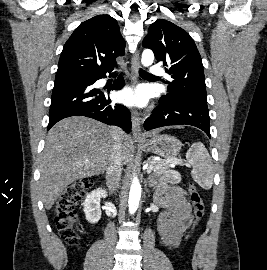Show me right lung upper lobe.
I'll list each match as a JSON object with an SVG mask.
<instances>
[{"mask_svg": "<svg viewBox=\"0 0 267 270\" xmlns=\"http://www.w3.org/2000/svg\"><path fill=\"white\" fill-rule=\"evenodd\" d=\"M124 54L125 40L117 21L109 15H98L80 24L67 40L56 76L105 73Z\"/></svg>", "mask_w": 267, "mask_h": 270, "instance_id": "1", "label": "right lung upper lobe"}]
</instances>
